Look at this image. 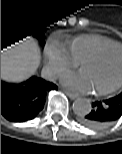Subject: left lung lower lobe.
<instances>
[{
  "instance_id": "0a47b994",
  "label": "left lung lower lobe",
  "mask_w": 122,
  "mask_h": 154,
  "mask_svg": "<svg viewBox=\"0 0 122 154\" xmlns=\"http://www.w3.org/2000/svg\"><path fill=\"white\" fill-rule=\"evenodd\" d=\"M92 110L80 117V122L91 129H104L122 116V93L119 95L92 103Z\"/></svg>"
}]
</instances>
